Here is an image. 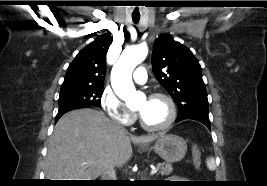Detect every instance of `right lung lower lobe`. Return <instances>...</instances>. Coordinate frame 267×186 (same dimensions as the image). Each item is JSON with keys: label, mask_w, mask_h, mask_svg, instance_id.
Returning a JSON list of instances; mask_svg holds the SVG:
<instances>
[{"label": "right lung lower lobe", "mask_w": 267, "mask_h": 186, "mask_svg": "<svg viewBox=\"0 0 267 186\" xmlns=\"http://www.w3.org/2000/svg\"><path fill=\"white\" fill-rule=\"evenodd\" d=\"M76 109H78V108H76ZM71 110H74V109L58 111V114L56 115V118H55V122H57L62 115H64L65 113H67Z\"/></svg>", "instance_id": "1"}]
</instances>
